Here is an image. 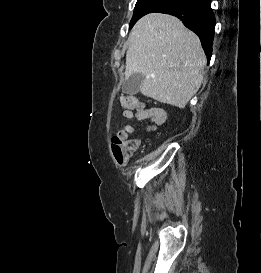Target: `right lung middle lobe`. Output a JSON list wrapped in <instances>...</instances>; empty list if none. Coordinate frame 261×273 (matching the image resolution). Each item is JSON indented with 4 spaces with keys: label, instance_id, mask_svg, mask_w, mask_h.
<instances>
[{
    "label": "right lung middle lobe",
    "instance_id": "1",
    "mask_svg": "<svg viewBox=\"0 0 261 273\" xmlns=\"http://www.w3.org/2000/svg\"><path fill=\"white\" fill-rule=\"evenodd\" d=\"M166 4L167 0H138L129 28L131 29L142 16L151 12H160L165 9Z\"/></svg>",
    "mask_w": 261,
    "mask_h": 273
}]
</instances>
